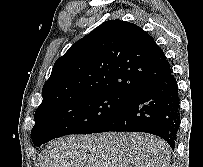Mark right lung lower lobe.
Returning <instances> with one entry per match:
<instances>
[{"label":"right lung lower lobe","mask_w":203,"mask_h":167,"mask_svg":"<svg viewBox=\"0 0 203 167\" xmlns=\"http://www.w3.org/2000/svg\"><path fill=\"white\" fill-rule=\"evenodd\" d=\"M180 124V99L172 73L143 89L93 133L146 132L163 138L174 150Z\"/></svg>","instance_id":"98d812e1"}]
</instances>
